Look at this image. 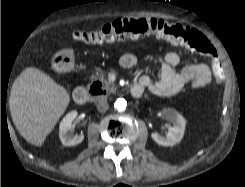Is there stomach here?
<instances>
[{
  "mask_svg": "<svg viewBox=\"0 0 245 187\" xmlns=\"http://www.w3.org/2000/svg\"><path fill=\"white\" fill-rule=\"evenodd\" d=\"M52 67L57 72H67L74 66V53L72 49H63L57 52L51 61Z\"/></svg>",
  "mask_w": 245,
  "mask_h": 187,
  "instance_id": "0dacf381",
  "label": "stomach"
}]
</instances>
